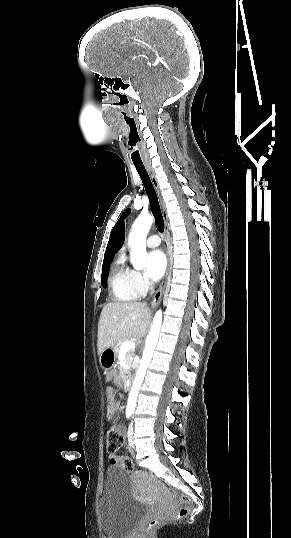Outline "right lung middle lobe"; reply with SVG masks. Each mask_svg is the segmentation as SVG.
Listing matches in <instances>:
<instances>
[{
    "mask_svg": "<svg viewBox=\"0 0 291 538\" xmlns=\"http://www.w3.org/2000/svg\"><path fill=\"white\" fill-rule=\"evenodd\" d=\"M111 261L112 260H108V261L103 262L101 282H102V285L104 287L107 286V278H108V275H109V267H110Z\"/></svg>",
    "mask_w": 291,
    "mask_h": 538,
    "instance_id": "right-lung-middle-lobe-1",
    "label": "right lung middle lobe"
}]
</instances>
